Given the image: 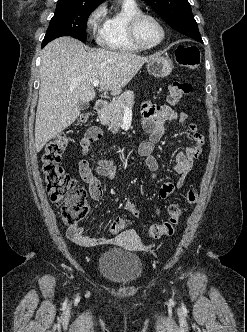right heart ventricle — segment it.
<instances>
[{"label": "right heart ventricle", "mask_w": 247, "mask_h": 332, "mask_svg": "<svg viewBox=\"0 0 247 332\" xmlns=\"http://www.w3.org/2000/svg\"><path fill=\"white\" fill-rule=\"evenodd\" d=\"M142 12L135 0H121L118 8L107 17L101 43L108 49L124 52H136L140 49L133 44L128 34L130 19Z\"/></svg>", "instance_id": "right-heart-ventricle-1"}]
</instances>
